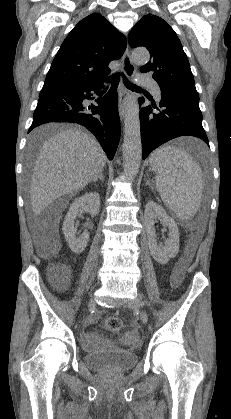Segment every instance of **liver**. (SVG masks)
Here are the masks:
<instances>
[{"mask_svg":"<svg viewBox=\"0 0 231 419\" xmlns=\"http://www.w3.org/2000/svg\"><path fill=\"white\" fill-rule=\"evenodd\" d=\"M49 128H36L31 140H39ZM106 161L98 141L81 130H61L49 138L39 151L31 180L34 214L39 215L57 198L83 189L103 171Z\"/></svg>","mask_w":231,"mask_h":419,"instance_id":"liver-1","label":"liver"}]
</instances>
